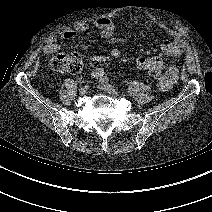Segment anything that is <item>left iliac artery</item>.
I'll list each match as a JSON object with an SVG mask.
<instances>
[{"label":"left iliac artery","instance_id":"obj_1","mask_svg":"<svg viewBox=\"0 0 212 212\" xmlns=\"http://www.w3.org/2000/svg\"><path fill=\"white\" fill-rule=\"evenodd\" d=\"M100 81L102 83H108L109 82V78L107 76H103V77H101Z\"/></svg>","mask_w":212,"mask_h":212}]
</instances>
